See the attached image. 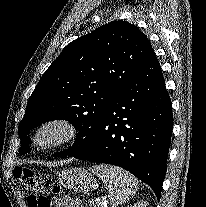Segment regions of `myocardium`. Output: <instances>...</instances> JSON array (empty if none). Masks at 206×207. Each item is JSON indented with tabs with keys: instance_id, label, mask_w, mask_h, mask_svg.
I'll return each instance as SVG.
<instances>
[{
	"instance_id": "obj_1",
	"label": "myocardium",
	"mask_w": 206,
	"mask_h": 207,
	"mask_svg": "<svg viewBox=\"0 0 206 207\" xmlns=\"http://www.w3.org/2000/svg\"><path fill=\"white\" fill-rule=\"evenodd\" d=\"M49 129L58 130L60 132L59 136L52 142H41V135ZM79 137L80 130L74 122L65 118H51L42 122L34 130L31 141L33 146L39 151H54L75 143Z\"/></svg>"
}]
</instances>
